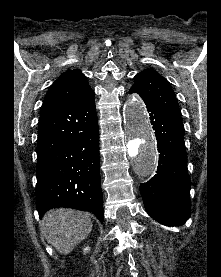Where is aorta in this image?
I'll use <instances>...</instances> for the list:
<instances>
[{
    "label": "aorta",
    "mask_w": 221,
    "mask_h": 277,
    "mask_svg": "<svg viewBox=\"0 0 221 277\" xmlns=\"http://www.w3.org/2000/svg\"><path fill=\"white\" fill-rule=\"evenodd\" d=\"M123 125L128 153L139 176L151 175L158 162V154L145 108L133 97L127 100L123 109Z\"/></svg>",
    "instance_id": "obj_1"
}]
</instances>
